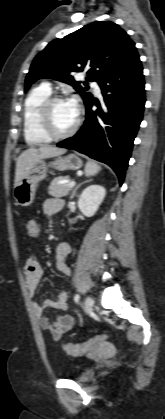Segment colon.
Here are the masks:
<instances>
[{
	"label": "colon",
	"mask_w": 165,
	"mask_h": 419,
	"mask_svg": "<svg viewBox=\"0 0 165 419\" xmlns=\"http://www.w3.org/2000/svg\"><path fill=\"white\" fill-rule=\"evenodd\" d=\"M36 223H37L36 221L31 220L27 224V227L32 234L36 233V230H37ZM106 338H107L106 334L96 335L80 343L65 344L63 346V349L67 354L71 356H81L94 350L101 342L106 340Z\"/></svg>",
	"instance_id": "1"
}]
</instances>
